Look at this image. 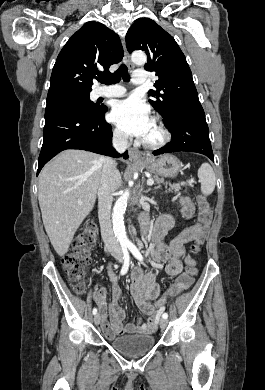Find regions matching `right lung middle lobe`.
Listing matches in <instances>:
<instances>
[{"label": "right lung middle lobe", "instance_id": "dd1d6c3e", "mask_svg": "<svg viewBox=\"0 0 265 390\" xmlns=\"http://www.w3.org/2000/svg\"><path fill=\"white\" fill-rule=\"evenodd\" d=\"M63 106L77 107L87 112H98L102 108L90 100L89 94H74L47 100L46 108Z\"/></svg>", "mask_w": 265, "mask_h": 390}]
</instances>
